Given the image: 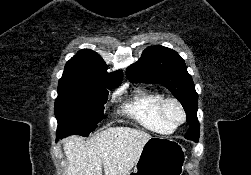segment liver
<instances>
[{
  "label": "liver",
  "mask_w": 251,
  "mask_h": 175,
  "mask_svg": "<svg viewBox=\"0 0 251 175\" xmlns=\"http://www.w3.org/2000/svg\"><path fill=\"white\" fill-rule=\"evenodd\" d=\"M150 133L132 127H107L91 139L70 135L63 139L68 161L66 175H128Z\"/></svg>",
  "instance_id": "1"
}]
</instances>
